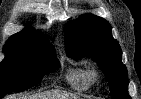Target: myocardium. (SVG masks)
<instances>
[{
	"mask_svg": "<svg viewBox=\"0 0 141 99\" xmlns=\"http://www.w3.org/2000/svg\"><path fill=\"white\" fill-rule=\"evenodd\" d=\"M89 74H90V77H91L92 81L97 79V77H98V72L96 70H94V69L90 70Z\"/></svg>",
	"mask_w": 141,
	"mask_h": 99,
	"instance_id": "f54148a6",
	"label": "myocardium"
}]
</instances>
